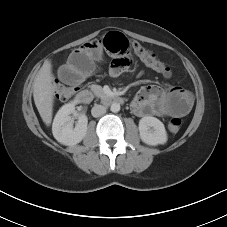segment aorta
<instances>
[{
    "label": "aorta",
    "mask_w": 227,
    "mask_h": 227,
    "mask_svg": "<svg viewBox=\"0 0 227 227\" xmlns=\"http://www.w3.org/2000/svg\"><path fill=\"white\" fill-rule=\"evenodd\" d=\"M110 110L114 113H117L120 111V104L119 103H112Z\"/></svg>",
    "instance_id": "obj_1"
}]
</instances>
